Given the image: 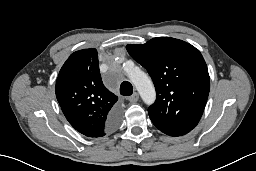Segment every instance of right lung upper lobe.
I'll list each match as a JSON object with an SVG mask.
<instances>
[{"mask_svg":"<svg viewBox=\"0 0 256 171\" xmlns=\"http://www.w3.org/2000/svg\"><path fill=\"white\" fill-rule=\"evenodd\" d=\"M59 105L74 129L87 137H102L118 97L103 84L96 49H83L69 56L55 87Z\"/></svg>","mask_w":256,"mask_h":171,"instance_id":"cb5924a9","label":"right lung upper lobe"}]
</instances>
